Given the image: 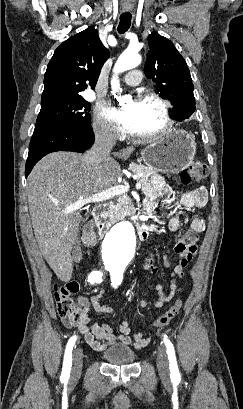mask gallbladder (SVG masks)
Listing matches in <instances>:
<instances>
[{
    "mask_svg": "<svg viewBox=\"0 0 243 409\" xmlns=\"http://www.w3.org/2000/svg\"><path fill=\"white\" fill-rule=\"evenodd\" d=\"M72 256L74 261L79 262L81 260V248H80V239H76L75 244L72 249Z\"/></svg>",
    "mask_w": 243,
    "mask_h": 409,
    "instance_id": "1",
    "label": "gallbladder"
}]
</instances>
